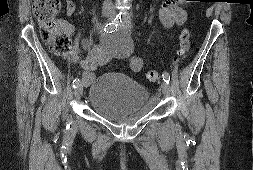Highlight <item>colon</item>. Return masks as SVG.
<instances>
[{
	"label": "colon",
	"instance_id": "colon-1",
	"mask_svg": "<svg viewBox=\"0 0 253 170\" xmlns=\"http://www.w3.org/2000/svg\"><path fill=\"white\" fill-rule=\"evenodd\" d=\"M195 1V0H186ZM61 8L60 0H33V14L39 23L42 40L57 56H65L71 48V40L68 34L62 30L56 16ZM180 56L184 57L190 48L191 33L183 29L180 34ZM151 82H159L161 75L158 71L151 70L146 75Z\"/></svg>",
	"mask_w": 253,
	"mask_h": 170
}]
</instances>
